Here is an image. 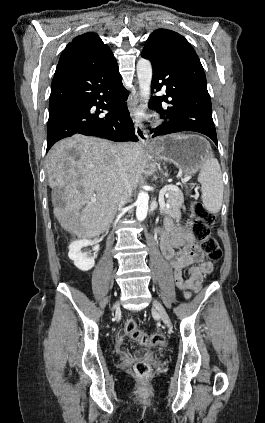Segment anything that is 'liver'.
<instances>
[{"mask_svg":"<svg viewBox=\"0 0 265 423\" xmlns=\"http://www.w3.org/2000/svg\"><path fill=\"white\" fill-rule=\"evenodd\" d=\"M126 161L132 188H136L148 164L136 143H115L75 134L56 143L46 157L49 186L52 188L54 215L61 227L78 238H93L110 226L117 211L119 165L117 147ZM56 188H63L58 199ZM96 202L92 203L91 199Z\"/></svg>","mask_w":265,"mask_h":423,"instance_id":"liver-1","label":"liver"}]
</instances>
